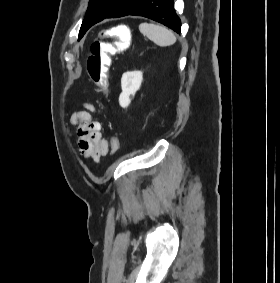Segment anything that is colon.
<instances>
[{
  "instance_id": "colon-1",
  "label": "colon",
  "mask_w": 280,
  "mask_h": 283,
  "mask_svg": "<svg viewBox=\"0 0 280 283\" xmlns=\"http://www.w3.org/2000/svg\"><path fill=\"white\" fill-rule=\"evenodd\" d=\"M133 30L131 25H119L109 27L101 32V36L114 38V47H120L121 51H128L129 47L126 42L131 41ZM112 43H105L97 39L90 47V53L87 58V70L91 80L103 92L107 91L108 87V73L111 66V55L115 51L111 48ZM119 140L115 141L113 149L116 152L119 149Z\"/></svg>"
}]
</instances>
